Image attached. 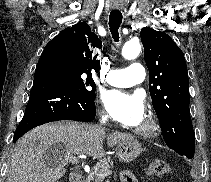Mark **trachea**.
<instances>
[{
  "instance_id": "obj_1",
  "label": "trachea",
  "mask_w": 211,
  "mask_h": 182,
  "mask_svg": "<svg viewBox=\"0 0 211 182\" xmlns=\"http://www.w3.org/2000/svg\"><path fill=\"white\" fill-rule=\"evenodd\" d=\"M122 23V13L120 11H111L109 16V27L112 38L115 42L119 41V32L118 29Z\"/></svg>"
}]
</instances>
